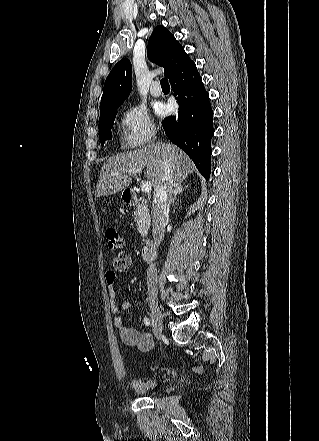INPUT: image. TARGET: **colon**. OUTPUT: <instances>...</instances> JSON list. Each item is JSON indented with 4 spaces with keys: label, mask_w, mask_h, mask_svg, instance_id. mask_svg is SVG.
<instances>
[{
    "label": "colon",
    "mask_w": 319,
    "mask_h": 441,
    "mask_svg": "<svg viewBox=\"0 0 319 441\" xmlns=\"http://www.w3.org/2000/svg\"><path fill=\"white\" fill-rule=\"evenodd\" d=\"M107 245L110 250H119L124 246V240L118 231L114 228H108L105 231Z\"/></svg>",
    "instance_id": "obj_1"
}]
</instances>
